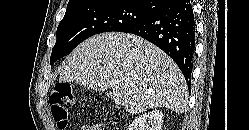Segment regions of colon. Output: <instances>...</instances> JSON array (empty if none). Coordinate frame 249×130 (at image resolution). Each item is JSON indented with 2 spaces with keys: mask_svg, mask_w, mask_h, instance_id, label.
<instances>
[{
  "mask_svg": "<svg viewBox=\"0 0 249 130\" xmlns=\"http://www.w3.org/2000/svg\"><path fill=\"white\" fill-rule=\"evenodd\" d=\"M49 104L52 117L60 130L68 125L69 115L75 104L73 86L69 83H58L49 95Z\"/></svg>",
  "mask_w": 249,
  "mask_h": 130,
  "instance_id": "colon-1",
  "label": "colon"
}]
</instances>
